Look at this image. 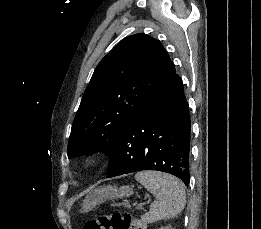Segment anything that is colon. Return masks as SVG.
<instances>
[{
    "label": "colon",
    "mask_w": 261,
    "mask_h": 229,
    "mask_svg": "<svg viewBox=\"0 0 261 229\" xmlns=\"http://www.w3.org/2000/svg\"><path fill=\"white\" fill-rule=\"evenodd\" d=\"M84 229H139L137 221L128 212L103 211L85 223Z\"/></svg>",
    "instance_id": "colon-1"
}]
</instances>
